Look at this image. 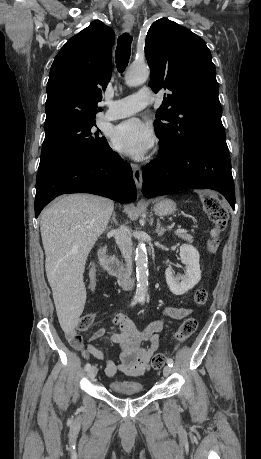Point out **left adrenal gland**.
<instances>
[{
	"instance_id": "obj_1",
	"label": "left adrenal gland",
	"mask_w": 261,
	"mask_h": 459,
	"mask_svg": "<svg viewBox=\"0 0 261 459\" xmlns=\"http://www.w3.org/2000/svg\"><path fill=\"white\" fill-rule=\"evenodd\" d=\"M169 228L167 227H164V226H161V222L160 220L158 219L157 220V225H156V233L158 234V236H162L166 231H168Z\"/></svg>"
}]
</instances>
